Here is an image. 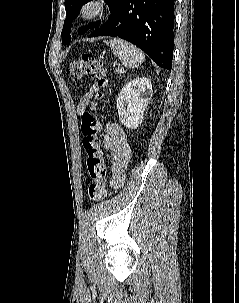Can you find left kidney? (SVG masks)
<instances>
[{
	"label": "left kidney",
	"instance_id": "left-kidney-1",
	"mask_svg": "<svg viewBox=\"0 0 239 303\" xmlns=\"http://www.w3.org/2000/svg\"><path fill=\"white\" fill-rule=\"evenodd\" d=\"M151 97L150 79L142 77L127 83L119 93L116 103L121 123L127 128L136 129L143 121V114Z\"/></svg>",
	"mask_w": 239,
	"mask_h": 303
}]
</instances>
